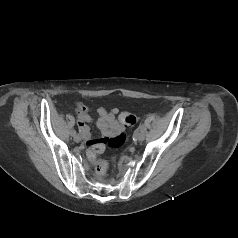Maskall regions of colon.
<instances>
[{"label": "colon", "mask_w": 238, "mask_h": 238, "mask_svg": "<svg viewBox=\"0 0 238 238\" xmlns=\"http://www.w3.org/2000/svg\"><path fill=\"white\" fill-rule=\"evenodd\" d=\"M118 120L121 124L127 126H132L136 123V117L126 111H123L119 114ZM124 139V135H120L116 138L102 141L89 150L88 158L95 163V172L97 175H104L108 169V163L105 160L97 158L98 155H100L104 151L105 144H108L111 147H118L122 145Z\"/></svg>", "instance_id": "1"}]
</instances>
